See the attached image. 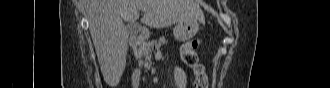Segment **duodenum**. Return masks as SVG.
<instances>
[{
	"label": "duodenum",
	"mask_w": 330,
	"mask_h": 88,
	"mask_svg": "<svg viewBox=\"0 0 330 88\" xmlns=\"http://www.w3.org/2000/svg\"><path fill=\"white\" fill-rule=\"evenodd\" d=\"M147 35L145 34L143 29H139L130 39V46L136 47L140 45L145 39ZM135 83H137V79H135Z\"/></svg>",
	"instance_id": "obj_1"
}]
</instances>
